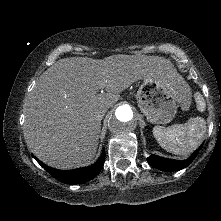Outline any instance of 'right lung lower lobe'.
<instances>
[{
	"instance_id": "1",
	"label": "right lung lower lobe",
	"mask_w": 221,
	"mask_h": 221,
	"mask_svg": "<svg viewBox=\"0 0 221 221\" xmlns=\"http://www.w3.org/2000/svg\"><path fill=\"white\" fill-rule=\"evenodd\" d=\"M33 156V155H32ZM34 157V156H33ZM38 163L46 169L55 179L59 180L65 184H80L87 182L98 175L100 170L102 169L105 161V150L101 154V157L98 159L96 163L89 167L79 168L69 171H62L53 169L41 161H39L36 157H34Z\"/></svg>"
}]
</instances>
